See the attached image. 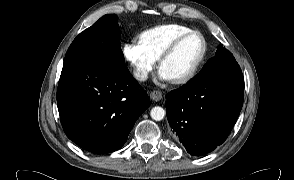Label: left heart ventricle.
I'll return each mask as SVG.
<instances>
[{
	"label": "left heart ventricle",
	"mask_w": 294,
	"mask_h": 180,
	"mask_svg": "<svg viewBox=\"0 0 294 180\" xmlns=\"http://www.w3.org/2000/svg\"><path fill=\"white\" fill-rule=\"evenodd\" d=\"M202 47V40L199 36H190L163 63L161 70L166 73L170 80L183 77L198 60L202 52Z\"/></svg>",
	"instance_id": "b2bd125f"
}]
</instances>
